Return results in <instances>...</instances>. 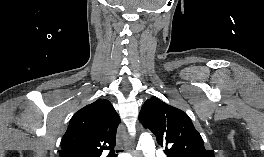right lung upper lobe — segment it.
I'll return each instance as SVG.
<instances>
[{"label": "right lung upper lobe", "mask_w": 264, "mask_h": 157, "mask_svg": "<svg viewBox=\"0 0 264 157\" xmlns=\"http://www.w3.org/2000/svg\"><path fill=\"white\" fill-rule=\"evenodd\" d=\"M120 118L109 100L98 99L77 111L61 140L59 157H101L113 150Z\"/></svg>", "instance_id": "obj_1"}]
</instances>
